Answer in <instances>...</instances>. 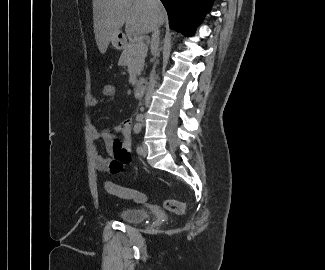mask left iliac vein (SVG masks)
Masks as SVG:
<instances>
[{"label":"left iliac vein","mask_w":325,"mask_h":270,"mask_svg":"<svg viewBox=\"0 0 325 270\" xmlns=\"http://www.w3.org/2000/svg\"><path fill=\"white\" fill-rule=\"evenodd\" d=\"M147 153H148V148H147V146L145 144H143L142 145V150H141V152L139 154L145 157L147 155Z\"/></svg>","instance_id":"1"}]
</instances>
